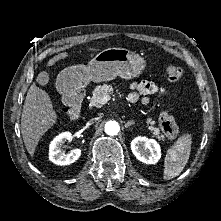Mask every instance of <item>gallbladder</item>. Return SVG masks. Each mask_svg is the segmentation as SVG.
I'll use <instances>...</instances> for the list:
<instances>
[{
    "instance_id": "gallbladder-1",
    "label": "gallbladder",
    "mask_w": 221,
    "mask_h": 221,
    "mask_svg": "<svg viewBox=\"0 0 221 221\" xmlns=\"http://www.w3.org/2000/svg\"><path fill=\"white\" fill-rule=\"evenodd\" d=\"M49 80V76L46 72H41L39 73L38 77H37V82L41 85H45L47 84Z\"/></svg>"
}]
</instances>
